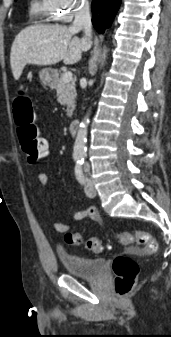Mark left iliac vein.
Listing matches in <instances>:
<instances>
[{"label":"left iliac vein","mask_w":171,"mask_h":337,"mask_svg":"<svg viewBox=\"0 0 171 337\" xmlns=\"http://www.w3.org/2000/svg\"><path fill=\"white\" fill-rule=\"evenodd\" d=\"M84 190H85V194L88 197L93 198V197L96 196V190H95L94 184H93V182L90 178L85 179Z\"/></svg>","instance_id":"4c4485c4"}]
</instances>
